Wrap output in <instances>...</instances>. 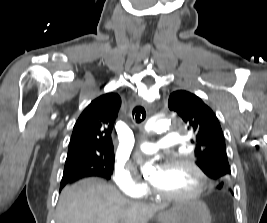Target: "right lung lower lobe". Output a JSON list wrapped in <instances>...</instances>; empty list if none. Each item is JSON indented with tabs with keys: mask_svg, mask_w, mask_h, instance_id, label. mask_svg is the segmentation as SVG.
<instances>
[{
	"mask_svg": "<svg viewBox=\"0 0 267 223\" xmlns=\"http://www.w3.org/2000/svg\"><path fill=\"white\" fill-rule=\"evenodd\" d=\"M92 176L102 177L101 175L96 174V173H90V172L80 171V170L64 171L63 178H62L61 185H60V190L68 183H71L81 178L92 177Z\"/></svg>",
	"mask_w": 267,
	"mask_h": 223,
	"instance_id": "1",
	"label": "right lung lower lobe"
}]
</instances>
